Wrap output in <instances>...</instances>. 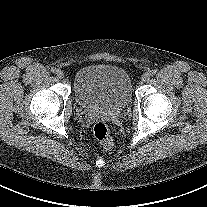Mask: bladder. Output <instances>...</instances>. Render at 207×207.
Instances as JSON below:
<instances>
[{
	"mask_svg": "<svg viewBox=\"0 0 207 207\" xmlns=\"http://www.w3.org/2000/svg\"><path fill=\"white\" fill-rule=\"evenodd\" d=\"M74 96L86 109H119L132 99L129 74L121 67L93 64L81 68L73 81Z\"/></svg>",
	"mask_w": 207,
	"mask_h": 207,
	"instance_id": "31cf9c89",
	"label": "bladder"
}]
</instances>
